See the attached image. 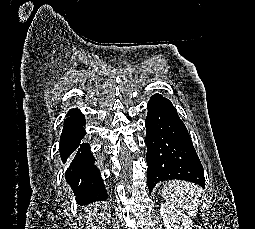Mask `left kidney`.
I'll list each match as a JSON object with an SVG mask.
<instances>
[{
    "label": "left kidney",
    "mask_w": 255,
    "mask_h": 229,
    "mask_svg": "<svg viewBox=\"0 0 255 229\" xmlns=\"http://www.w3.org/2000/svg\"><path fill=\"white\" fill-rule=\"evenodd\" d=\"M160 214L163 218L166 229H192L193 223L191 219L167 203H162Z\"/></svg>",
    "instance_id": "left-kidney-1"
}]
</instances>
